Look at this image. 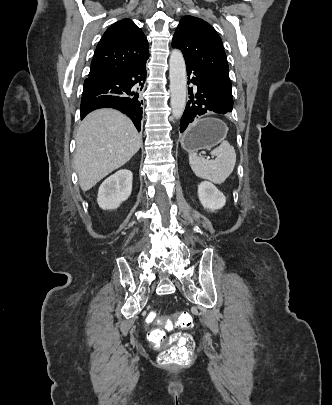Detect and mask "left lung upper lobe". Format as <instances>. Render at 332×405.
<instances>
[{
    "instance_id": "obj_1",
    "label": "left lung upper lobe",
    "mask_w": 332,
    "mask_h": 405,
    "mask_svg": "<svg viewBox=\"0 0 332 405\" xmlns=\"http://www.w3.org/2000/svg\"><path fill=\"white\" fill-rule=\"evenodd\" d=\"M172 46L182 51L186 64L206 76L222 105L232 109L229 67L216 30L200 18L184 16L177 26Z\"/></svg>"
}]
</instances>
